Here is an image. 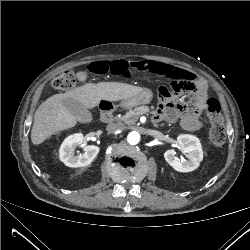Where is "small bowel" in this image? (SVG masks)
Here are the masks:
<instances>
[{"label": "small bowel", "mask_w": 250, "mask_h": 250, "mask_svg": "<svg viewBox=\"0 0 250 250\" xmlns=\"http://www.w3.org/2000/svg\"><path fill=\"white\" fill-rule=\"evenodd\" d=\"M135 65L136 68L151 73L173 79L179 77L184 84L178 92H191L195 95L193 100L175 103L172 98V91L166 87L161 88V100L157 109L158 117H163L168 122L179 120L183 128L189 131H198L203 128L204 120L202 115L207 99V85L204 80L183 68L163 62L143 59L136 62ZM77 77L80 81H85L87 78L84 71L78 72Z\"/></svg>", "instance_id": "1"}]
</instances>
